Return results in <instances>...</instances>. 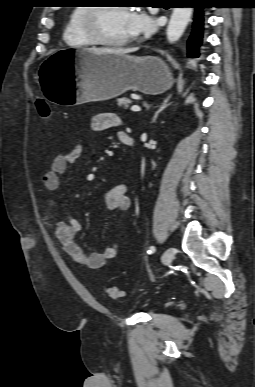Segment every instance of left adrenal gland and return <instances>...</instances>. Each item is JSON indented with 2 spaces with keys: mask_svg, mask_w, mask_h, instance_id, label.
Here are the masks:
<instances>
[{
  "mask_svg": "<svg viewBox=\"0 0 255 387\" xmlns=\"http://www.w3.org/2000/svg\"><path fill=\"white\" fill-rule=\"evenodd\" d=\"M171 98V95H169L168 97H166L163 102L161 103V105L159 106L158 110L155 112L152 120L150 123H154L159 115V113H161L164 109H166L171 103H169V100Z\"/></svg>",
  "mask_w": 255,
  "mask_h": 387,
  "instance_id": "a2214340",
  "label": "left adrenal gland"
}]
</instances>
